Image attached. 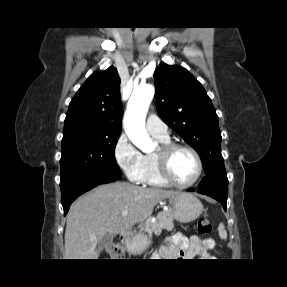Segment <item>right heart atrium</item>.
I'll list each match as a JSON object with an SVG mask.
<instances>
[{"label":"right heart atrium","instance_id":"d8ad5b80","mask_svg":"<svg viewBox=\"0 0 287 287\" xmlns=\"http://www.w3.org/2000/svg\"><path fill=\"white\" fill-rule=\"evenodd\" d=\"M114 158L127 178L135 183L141 182L143 154L134 146L126 134H121L114 146Z\"/></svg>","mask_w":287,"mask_h":287}]
</instances>
